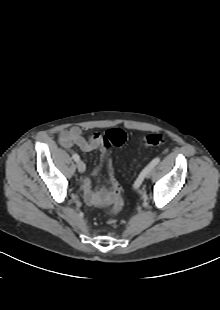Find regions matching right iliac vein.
<instances>
[{
    "label": "right iliac vein",
    "instance_id": "right-iliac-vein-1",
    "mask_svg": "<svg viewBox=\"0 0 220 310\" xmlns=\"http://www.w3.org/2000/svg\"><path fill=\"white\" fill-rule=\"evenodd\" d=\"M77 168H78V171L80 173H83V172H85L86 166H85L84 162L78 161L77 162Z\"/></svg>",
    "mask_w": 220,
    "mask_h": 310
}]
</instances>
